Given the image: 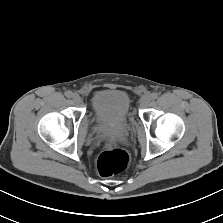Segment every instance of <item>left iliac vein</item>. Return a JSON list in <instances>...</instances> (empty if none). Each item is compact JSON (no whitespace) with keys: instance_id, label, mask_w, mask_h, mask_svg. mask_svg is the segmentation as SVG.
Instances as JSON below:
<instances>
[{"instance_id":"4c4485c4","label":"left iliac vein","mask_w":223,"mask_h":223,"mask_svg":"<svg viewBox=\"0 0 223 223\" xmlns=\"http://www.w3.org/2000/svg\"><path fill=\"white\" fill-rule=\"evenodd\" d=\"M150 101H151V96L150 95H144L140 99V106L142 108H144V107H146L149 104Z\"/></svg>"}]
</instances>
